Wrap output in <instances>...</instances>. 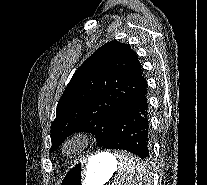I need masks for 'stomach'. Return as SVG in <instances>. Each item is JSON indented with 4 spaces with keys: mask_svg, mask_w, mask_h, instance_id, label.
<instances>
[{
    "mask_svg": "<svg viewBox=\"0 0 207 185\" xmlns=\"http://www.w3.org/2000/svg\"><path fill=\"white\" fill-rule=\"evenodd\" d=\"M117 166L114 155L102 152L71 167L58 185H104L117 171Z\"/></svg>",
    "mask_w": 207,
    "mask_h": 185,
    "instance_id": "1",
    "label": "stomach"
}]
</instances>
